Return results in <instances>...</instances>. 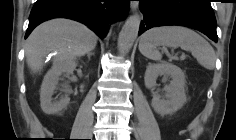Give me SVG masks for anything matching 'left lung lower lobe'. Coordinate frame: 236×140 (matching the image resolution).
<instances>
[{"mask_svg":"<svg viewBox=\"0 0 236 140\" xmlns=\"http://www.w3.org/2000/svg\"><path fill=\"white\" fill-rule=\"evenodd\" d=\"M144 14L139 35L157 26L180 25L199 30L217 42L210 0H139Z\"/></svg>","mask_w":236,"mask_h":140,"instance_id":"obj_1","label":"left lung lower lobe"}]
</instances>
